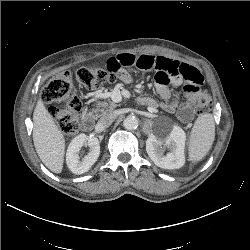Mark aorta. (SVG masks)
<instances>
[{
	"mask_svg": "<svg viewBox=\"0 0 250 250\" xmlns=\"http://www.w3.org/2000/svg\"><path fill=\"white\" fill-rule=\"evenodd\" d=\"M139 121L135 116H127L123 121V127L126 130H135L138 127Z\"/></svg>",
	"mask_w": 250,
	"mask_h": 250,
	"instance_id": "762f6f07",
	"label": "aorta"
}]
</instances>
